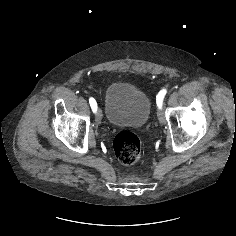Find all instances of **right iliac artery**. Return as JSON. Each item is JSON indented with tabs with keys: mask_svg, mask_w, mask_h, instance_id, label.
<instances>
[{
	"mask_svg": "<svg viewBox=\"0 0 236 236\" xmlns=\"http://www.w3.org/2000/svg\"><path fill=\"white\" fill-rule=\"evenodd\" d=\"M89 103H90V106H91L93 112H96L97 111V103H96L95 99L89 98Z\"/></svg>",
	"mask_w": 236,
	"mask_h": 236,
	"instance_id": "82829eb1",
	"label": "right iliac artery"
}]
</instances>
